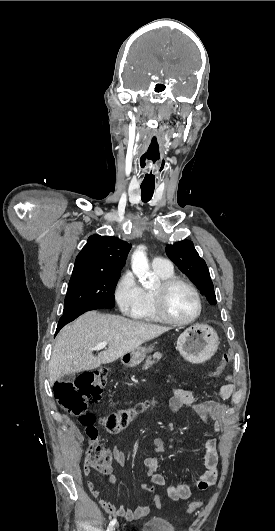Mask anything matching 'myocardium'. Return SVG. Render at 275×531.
Listing matches in <instances>:
<instances>
[{
    "label": "myocardium",
    "instance_id": "1",
    "mask_svg": "<svg viewBox=\"0 0 275 531\" xmlns=\"http://www.w3.org/2000/svg\"><path fill=\"white\" fill-rule=\"evenodd\" d=\"M177 284H182L185 287H187L192 292L196 300V304H197L196 312L192 317L186 320H178L174 318L173 316L170 315L166 307L167 294L169 290ZM152 294H153L155 308H156L158 315L160 316L162 320H164L167 323L177 325V326H186L196 321L202 313V300H201V296L197 288L190 281L184 278L177 277V276H171V277L162 279V281L160 282L159 288L157 290L152 291Z\"/></svg>",
    "mask_w": 275,
    "mask_h": 531
}]
</instances>
